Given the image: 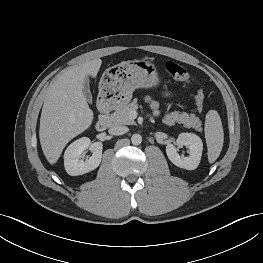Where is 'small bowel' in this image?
I'll return each mask as SVG.
<instances>
[{
    "instance_id": "obj_1",
    "label": "small bowel",
    "mask_w": 263,
    "mask_h": 263,
    "mask_svg": "<svg viewBox=\"0 0 263 263\" xmlns=\"http://www.w3.org/2000/svg\"><path fill=\"white\" fill-rule=\"evenodd\" d=\"M151 107L155 114L159 112V105L156 101L150 100Z\"/></svg>"
}]
</instances>
